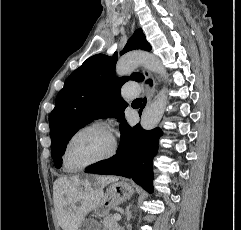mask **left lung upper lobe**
<instances>
[{
	"label": "left lung upper lobe",
	"instance_id": "left-lung-upper-lobe-1",
	"mask_svg": "<svg viewBox=\"0 0 241 230\" xmlns=\"http://www.w3.org/2000/svg\"><path fill=\"white\" fill-rule=\"evenodd\" d=\"M142 30L135 31L120 55L137 48L151 50ZM117 52L112 57L97 54L88 58L66 80L56 97L55 108L49 117L52 140L51 155L55 166H62V153L71 137L83 126L98 118L125 119L126 104L120 88L129 79L142 81L143 75L115 76Z\"/></svg>",
	"mask_w": 241,
	"mask_h": 230
}]
</instances>
